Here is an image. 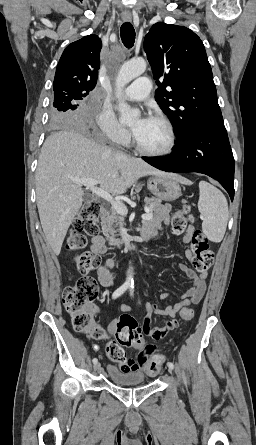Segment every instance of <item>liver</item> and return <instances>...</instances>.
Segmentation results:
<instances>
[{"instance_id":"obj_1","label":"liver","mask_w":256,"mask_h":445,"mask_svg":"<svg viewBox=\"0 0 256 445\" xmlns=\"http://www.w3.org/2000/svg\"><path fill=\"white\" fill-rule=\"evenodd\" d=\"M147 175H168L185 182L79 132L51 134L42 146L36 169V202L45 238L54 254H60L67 230L82 206V184L72 178L100 180L104 190L119 195Z\"/></svg>"}]
</instances>
